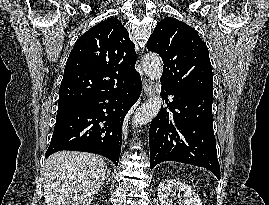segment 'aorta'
Instances as JSON below:
<instances>
[{"instance_id": "762f6f07", "label": "aorta", "mask_w": 269, "mask_h": 205, "mask_svg": "<svg viewBox=\"0 0 269 205\" xmlns=\"http://www.w3.org/2000/svg\"><path fill=\"white\" fill-rule=\"evenodd\" d=\"M142 66L145 74L154 80H160L163 72V64L159 55L148 53L142 59ZM162 98L155 96L146 101L135 113L133 117V125L141 126L150 122L160 112Z\"/></svg>"}]
</instances>
